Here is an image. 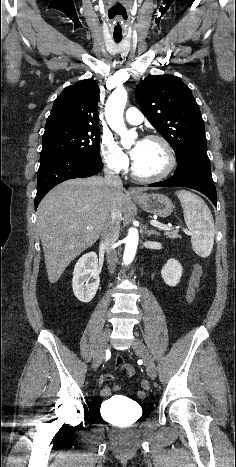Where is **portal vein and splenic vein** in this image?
Masks as SVG:
<instances>
[{"label":"portal vein and splenic vein","mask_w":236,"mask_h":467,"mask_svg":"<svg viewBox=\"0 0 236 467\" xmlns=\"http://www.w3.org/2000/svg\"><path fill=\"white\" fill-rule=\"evenodd\" d=\"M150 224L152 226H154V227H157V228L161 229V230H166V231L172 230V228L170 226L162 224V223H160V222H158L156 220H151ZM186 232L189 233L188 231H186Z\"/></svg>","instance_id":"portal-vein-and-splenic-vein-1"}]
</instances>
